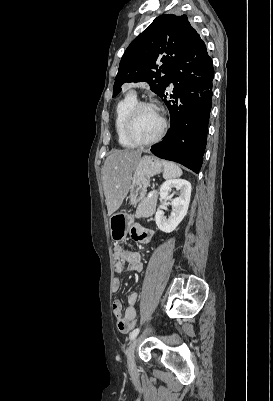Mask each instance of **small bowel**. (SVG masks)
<instances>
[{
	"label": "small bowel",
	"instance_id": "small-bowel-1",
	"mask_svg": "<svg viewBox=\"0 0 273 401\" xmlns=\"http://www.w3.org/2000/svg\"><path fill=\"white\" fill-rule=\"evenodd\" d=\"M153 235L151 228H130L129 236L134 239H141L148 241L149 237ZM114 271L116 274L124 273L126 265L128 270L133 272H139L142 269L141 259L138 253L123 249L120 246L114 248ZM121 280L115 278L112 283L113 291H119L121 288ZM139 300V294L132 292L128 296L127 306L123 308L122 303L119 300L113 303V313L115 316L116 327L120 332H128L131 330L137 320V303Z\"/></svg>",
	"mask_w": 273,
	"mask_h": 401
}]
</instances>
